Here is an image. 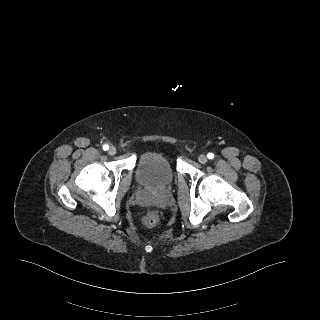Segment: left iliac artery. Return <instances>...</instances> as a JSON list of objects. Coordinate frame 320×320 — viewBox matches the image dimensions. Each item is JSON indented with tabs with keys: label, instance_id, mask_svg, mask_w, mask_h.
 I'll list each match as a JSON object with an SVG mask.
<instances>
[{
	"label": "left iliac artery",
	"instance_id": "1",
	"mask_svg": "<svg viewBox=\"0 0 320 320\" xmlns=\"http://www.w3.org/2000/svg\"><path fill=\"white\" fill-rule=\"evenodd\" d=\"M207 157H208L209 159H213V158H214V154H213V153H208V154H207Z\"/></svg>",
	"mask_w": 320,
	"mask_h": 320
}]
</instances>
